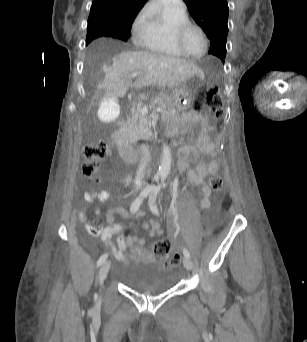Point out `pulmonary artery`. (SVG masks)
I'll use <instances>...</instances> for the list:
<instances>
[{
	"label": "pulmonary artery",
	"instance_id": "1",
	"mask_svg": "<svg viewBox=\"0 0 307 342\" xmlns=\"http://www.w3.org/2000/svg\"><path fill=\"white\" fill-rule=\"evenodd\" d=\"M162 8H156L154 10V14L158 17L165 10H185L186 3L185 1H161Z\"/></svg>",
	"mask_w": 307,
	"mask_h": 342
}]
</instances>
